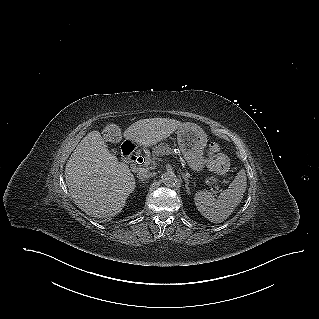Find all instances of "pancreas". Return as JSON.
Here are the masks:
<instances>
[{"label":"pancreas","mask_w":319,"mask_h":319,"mask_svg":"<svg viewBox=\"0 0 319 319\" xmlns=\"http://www.w3.org/2000/svg\"><path fill=\"white\" fill-rule=\"evenodd\" d=\"M153 156H163V155H169L173 153V148L170 147V145L166 143H160L157 146L153 148Z\"/></svg>","instance_id":"obj_1"}]
</instances>
